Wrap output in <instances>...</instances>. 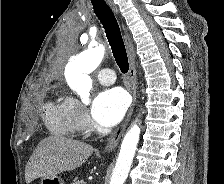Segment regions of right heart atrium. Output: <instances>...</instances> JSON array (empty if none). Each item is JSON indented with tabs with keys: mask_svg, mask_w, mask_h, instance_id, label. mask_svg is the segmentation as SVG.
Here are the masks:
<instances>
[{
	"mask_svg": "<svg viewBox=\"0 0 224 184\" xmlns=\"http://www.w3.org/2000/svg\"><path fill=\"white\" fill-rule=\"evenodd\" d=\"M66 100L70 106L76 130L86 131L90 127V119L86 108L74 97H68Z\"/></svg>",
	"mask_w": 224,
	"mask_h": 184,
	"instance_id": "1",
	"label": "right heart atrium"
}]
</instances>
